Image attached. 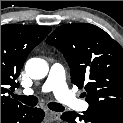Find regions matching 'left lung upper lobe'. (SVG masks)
<instances>
[{"label":"left lung upper lobe","instance_id":"1","mask_svg":"<svg viewBox=\"0 0 123 123\" xmlns=\"http://www.w3.org/2000/svg\"><path fill=\"white\" fill-rule=\"evenodd\" d=\"M46 42L64 55L90 106L123 113V49L115 40L97 26L75 23L59 26Z\"/></svg>","mask_w":123,"mask_h":123}]
</instances>
